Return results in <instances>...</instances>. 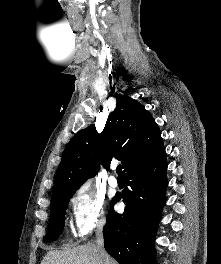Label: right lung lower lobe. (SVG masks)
I'll return each mask as SVG.
<instances>
[{"label":"right lung lower lobe","mask_w":221,"mask_h":264,"mask_svg":"<svg viewBox=\"0 0 221 264\" xmlns=\"http://www.w3.org/2000/svg\"><path fill=\"white\" fill-rule=\"evenodd\" d=\"M166 152L149 164L125 173L126 189L115 196L104 227L106 251L120 264H155L154 241L163 205L166 202ZM126 203L123 214L114 212L120 199Z\"/></svg>","instance_id":"right-lung-lower-lobe-1"}]
</instances>
